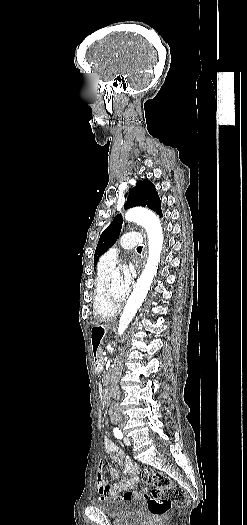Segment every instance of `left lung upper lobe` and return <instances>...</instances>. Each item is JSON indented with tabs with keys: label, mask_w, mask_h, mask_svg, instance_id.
I'll list each match as a JSON object with an SVG mask.
<instances>
[{
	"label": "left lung upper lobe",
	"mask_w": 247,
	"mask_h": 525,
	"mask_svg": "<svg viewBox=\"0 0 247 525\" xmlns=\"http://www.w3.org/2000/svg\"><path fill=\"white\" fill-rule=\"evenodd\" d=\"M135 206H147L159 214L160 217H163L161 211V200L156 191L155 185L147 179L140 180L136 186L132 188L129 192L124 208L129 209ZM122 223V216L121 214H118L101 234L94 254V266L99 257L116 242L122 228Z\"/></svg>",
	"instance_id": "obj_1"
}]
</instances>
